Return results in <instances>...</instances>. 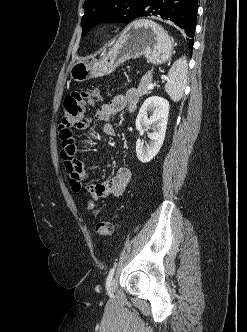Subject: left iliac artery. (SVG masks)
Returning <instances> with one entry per match:
<instances>
[{"instance_id":"1","label":"left iliac artery","mask_w":247,"mask_h":332,"mask_svg":"<svg viewBox=\"0 0 247 332\" xmlns=\"http://www.w3.org/2000/svg\"><path fill=\"white\" fill-rule=\"evenodd\" d=\"M115 268H116V264L113 265V267L110 269L109 271V274H108V277H107V282L109 283L112 278H113V275H114V272H115Z\"/></svg>"}]
</instances>
